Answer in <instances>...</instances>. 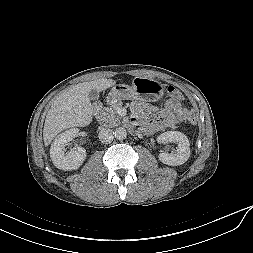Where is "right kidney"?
<instances>
[{"label":"right kidney","instance_id":"ca27d5eb","mask_svg":"<svg viewBox=\"0 0 253 253\" xmlns=\"http://www.w3.org/2000/svg\"><path fill=\"white\" fill-rule=\"evenodd\" d=\"M78 129H69L61 133L53 141L50 148V157L53 164L64 171L75 170L79 168L86 159V150L83 147H74L69 152H65L67 142L71 141Z\"/></svg>","mask_w":253,"mask_h":253}]
</instances>
